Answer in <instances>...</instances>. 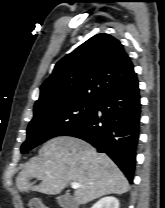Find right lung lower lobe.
<instances>
[{
	"mask_svg": "<svg viewBox=\"0 0 165 208\" xmlns=\"http://www.w3.org/2000/svg\"><path fill=\"white\" fill-rule=\"evenodd\" d=\"M140 95L134 73L125 83L108 91L82 125L68 136L83 139L104 152L133 182L139 138Z\"/></svg>",
	"mask_w": 165,
	"mask_h": 208,
	"instance_id": "1",
	"label": "right lung lower lobe"
}]
</instances>
